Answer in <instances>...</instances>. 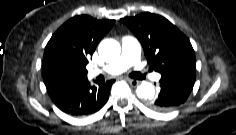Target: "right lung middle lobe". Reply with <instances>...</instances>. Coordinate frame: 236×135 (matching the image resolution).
<instances>
[{"mask_svg": "<svg viewBox=\"0 0 236 135\" xmlns=\"http://www.w3.org/2000/svg\"><path fill=\"white\" fill-rule=\"evenodd\" d=\"M49 67L68 71L73 74L87 75V71H80L74 68L70 63L57 59Z\"/></svg>", "mask_w": 236, "mask_h": 135, "instance_id": "obj_1", "label": "right lung middle lobe"}]
</instances>
